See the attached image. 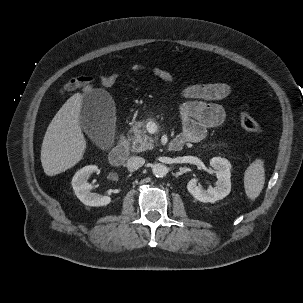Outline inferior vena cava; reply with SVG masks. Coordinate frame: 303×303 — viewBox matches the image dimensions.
<instances>
[{
    "label": "inferior vena cava",
    "mask_w": 303,
    "mask_h": 303,
    "mask_svg": "<svg viewBox=\"0 0 303 303\" xmlns=\"http://www.w3.org/2000/svg\"><path fill=\"white\" fill-rule=\"evenodd\" d=\"M145 163V159L139 156H133L131 158L128 159L127 161V168L130 171H135L138 168H140L141 166H143Z\"/></svg>",
    "instance_id": "602c4592"
}]
</instances>
